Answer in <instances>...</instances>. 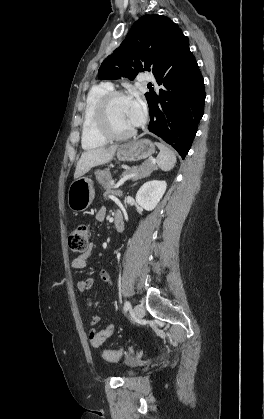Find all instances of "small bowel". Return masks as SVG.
<instances>
[{
    "instance_id": "1",
    "label": "small bowel",
    "mask_w": 264,
    "mask_h": 419,
    "mask_svg": "<svg viewBox=\"0 0 264 419\" xmlns=\"http://www.w3.org/2000/svg\"><path fill=\"white\" fill-rule=\"evenodd\" d=\"M104 216H105V209L101 208L96 214V219L98 221H102L104 219ZM89 256H90V251H86L76 256L71 263L72 267L75 269H84L88 264ZM96 277L101 278L112 289L113 287L112 279L107 272L100 271L97 273ZM96 277L90 276L86 279L79 280L77 282V289L81 293H87L93 287ZM95 305L96 303L92 302L90 298H87L88 308H91ZM89 322L91 326V330L89 332L90 343L94 348H100L114 335L115 327L113 324H108L104 327L98 328L97 325L100 322V317L97 315H90Z\"/></svg>"
}]
</instances>
